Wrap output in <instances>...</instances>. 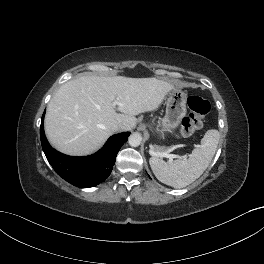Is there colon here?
<instances>
[{"label":"colon","mask_w":264,"mask_h":264,"mask_svg":"<svg viewBox=\"0 0 264 264\" xmlns=\"http://www.w3.org/2000/svg\"><path fill=\"white\" fill-rule=\"evenodd\" d=\"M189 115L182 118L178 137H189L193 135L203 123L205 116L210 110V104L207 100L199 96H190L188 98Z\"/></svg>","instance_id":"colon-1"}]
</instances>
